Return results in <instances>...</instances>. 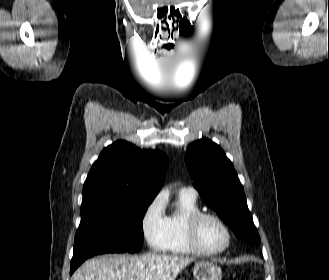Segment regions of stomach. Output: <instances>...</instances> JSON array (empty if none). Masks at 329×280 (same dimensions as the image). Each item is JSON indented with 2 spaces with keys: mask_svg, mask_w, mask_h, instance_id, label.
Masks as SVG:
<instances>
[{
  "mask_svg": "<svg viewBox=\"0 0 329 280\" xmlns=\"http://www.w3.org/2000/svg\"><path fill=\"white\" fill-rule=\"evenodd\" d=\"M193 275L196 280H221V268L212 262L200 261L193 267Z\"/></svg>",
  "mask_w": 329,
  "mask_h": 280,
  "instance_id": "stomach-1",
  "label": "stomach"
}]
</instances>
